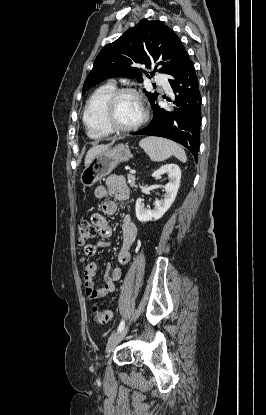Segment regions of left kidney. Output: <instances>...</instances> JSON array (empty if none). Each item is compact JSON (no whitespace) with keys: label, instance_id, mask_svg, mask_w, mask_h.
I'll use <instances>...</instances> for the list:
<instances>
[{"label":"left kidney","instance_id":"5707ae66","mask_svg":"<svg viewBox=\"0 0 266 415\" xmlns=\"http://www.w3.org/2000/svg\"><path fill=\"white\" fill-rule=\"evenodd\" d=\"M168 175V183L165 185V194L162 200L154 202L152 210L144 207L143 200L138 198L135 205L136 217L140 222H147L160 219L174 202L181 179V170L176 164H166L153 172L152 177Z\"/></svg>","mask_w":266,"mask_h":415}]
</instances>
